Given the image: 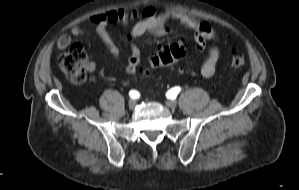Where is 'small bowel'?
Listing matches in <instances>:
<instances>
[{
	"label": "small bowel",
	"mask_w": 299,
	"mask_h": 190,
	"mask_svg": "<svg viewBox=\"0 0 299 190\" xmlns=\"http://www.w3.org/2000/svg\"><path fill=\"white\" fill-rule=\"evenodd\" d=\"M169 20L176 21L194 33L196 52H201L205 47L206 41L216 36V30L208 22L199 20L175 8H167L160 13H158L152 6L135 8L132 10L119 8L104 13L94 14L89 18V21L95 26L98 36L108 47L115 59H119L120 50L108 31L109 25L115 23L125 24L129 21H135L132 30L126 36L131 49V56L126 66V72L130 75L138 72L140 57V51L134 44V39L144 36L149 32H152L155 35H163L169 32L171 30V28L167 26ZM71 34L73 36H81L83 31L82 29L75 27L71 30ZM71 42V36L64 35L59 39L57 47L60 50L66 49L70 46ZM220 56L221 51L217 46H213L209 49L208 56L201 67L202 76L211 77L215 73ZM94 68L95 64L89 61L87 63V69L92 71Z\"/></svg>",
	"instance_id": "1"
}]
</instances>
